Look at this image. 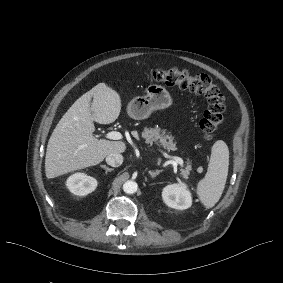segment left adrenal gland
Returning <instances> with one entry per match:
<instances>
[{
    "label": "left adrenal gland",
    "instance_id": "left-adrenal-gland-1",
    "mask_svg": "<svg viewBox=\"0 0 283 283\" xmlns=\"http://www.w3.org/2000/svg\"><path fill=\"white\" fill-rule=\"evenodd\" d=\"M163 170H156L155 172L149 171V174L151 175L152 178L156 177L160 172Z\"/></svg>",
    "mask_w": 283,
    "mask_h": 283
}]
</instances>
